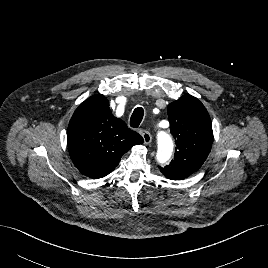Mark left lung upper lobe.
I'll return each mask as SVG.
<instances>
[{
  "label": "left lung upper lobe",
  "mask_w": 268,
  "mask_h": 268,
  "mask_svg": "<svg viewBox=\"0 0 268 268\" xmlns=\"http://www.w3.org/2000/svg\"><path fill=\"white\" fill-rule=\"evenodd\" d=\"M167 110L177 147L170 164L159 168L166 178L181 180L196 172L210 153L212 123L204 105L191 95L180 97Z\"/></svg>",
  "instance_id": "obj_1"
}]
</instances>
